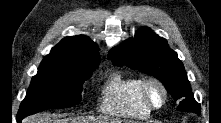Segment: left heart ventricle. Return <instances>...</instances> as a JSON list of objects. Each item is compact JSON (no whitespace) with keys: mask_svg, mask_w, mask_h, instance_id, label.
Here are the masks:
<instances>
[{"mask_svg":"<svg viewBox=\"0 0 221 123\" xmlns=\"http://www.w3.org/2000/svg\"><path fill=\"white\" fill-rule=\"evenodd\" d=\"M150 94H151V97H152L154 102H156V103H160L161 102L162 94H161V92L157 88L153 87L151 89Z\"/></svg>","mask_w":221,"mask_h":123,"instance_id":"1","label":"left heart ventricle"}]
</instances>
